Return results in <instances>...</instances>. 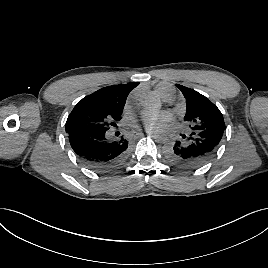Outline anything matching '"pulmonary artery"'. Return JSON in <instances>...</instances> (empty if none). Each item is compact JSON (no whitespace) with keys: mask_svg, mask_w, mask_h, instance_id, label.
<instances>
[{"mask_svg":"<svg viewBox=\"0 0 268 268\" xmlns=\"http://www.w3.org/2000/svg\"><path fill=\"white\" fill-rule=\"evenodd\" d=\"M171 99H172V96H171V97L166 98L165 100H166V101H170Z\"/></svg>","mask_w":268,"mask_h":268,"instance_id":"1","label":"pulmonary artery"}]
</instances>
